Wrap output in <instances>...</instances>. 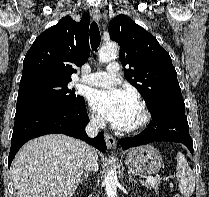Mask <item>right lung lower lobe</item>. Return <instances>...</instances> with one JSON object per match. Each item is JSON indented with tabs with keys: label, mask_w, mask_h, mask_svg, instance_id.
I'll return each instance as SVG.
<instances>
[{
	"label": "right lung lower lobe",
	"mask_w": 209,
	"mask_h": 197,
	"mask_svg": "<svg viewBox=\"0 0 209 197\" xmlns=\"http://www.w3.org/2000/svg\"><path fill=\"white\" fill-rule=\"evenodd\" d=\"M89 122L84 100L73 104H48L17 111L11 138L8 166L18 150L32 138L45 134L62 133L81 139L101 152L106 151L102 133L90 139L85 133Z\"/></svg>",
	"instance_id": "right-lung-lower-lobe-1"
}]
</instances>
